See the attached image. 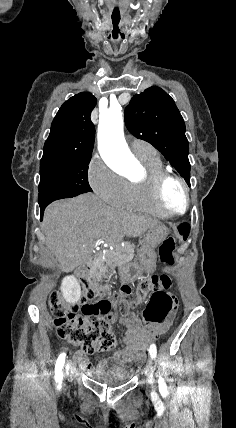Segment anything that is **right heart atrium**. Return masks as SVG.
Masks as SVG:
<instances>
[{
    "label": "right heart atrium",
    "mask_w": 236,
    "mask_h": 428,
    "mask_svg": "<svg viewBox=\"0 0 236 428\" xmlns=\"http://www.w3.org/2000/svg\"><path fill=\"white\" fill-rule=\"evenodd\" d=\"M88 182L97 198L106 200L107 206L123 205L128 182L99 156L93 157L89 163Z\"/></svg>",
    "instance_id": "1"
}]
</instances>
